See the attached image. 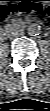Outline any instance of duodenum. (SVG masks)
Here are the masks:
<instances>
[{"label": "duodenum", "mask_w": 50, "mask_h": 111, "mask_svg": "<svg viewBox=\"0 0 50 111\" xmlns=\"http://www.w3.org/2000/svg\"><path fill=\"white\" fill-rule=\"evenodd\" d=\"M8 34H9V30L8 29H4L1 32V37L2 38H6L8 36Z\"/></svg>", "instance_id": "1"}]
</instances>
